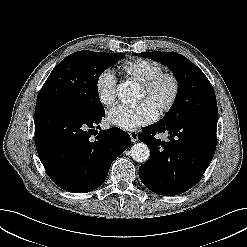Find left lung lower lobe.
<instances>
[{
  "instance_id": "0a47b994",
  "label": "left lung lower lobe",
  "mask_w": 247,
  "mask_h": 247,
  "mask_svg": "<svg viewBox=\"0 0 247 247\" xmlns=\"http://www.w3.org/2000/svg\"><path fill=\"white\" fill-rule=\"evenodd\" d=\"M218 117L197 116L172 123L159 121L138 135L150 148V158L139 167V177L151 191L174 196L192 188L209 166L216 148ZM169 134V142L157 133Z\"/></svg>"
}]
</instances>
